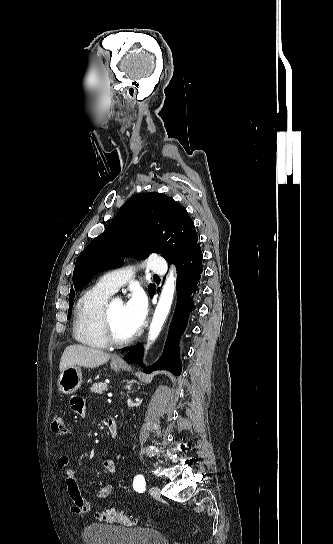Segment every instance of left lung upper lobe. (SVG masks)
Returning <instances> with one entry per match:
<instances>
[{
  "label": "left lung upper lobe",
  "mask_w": 333,
  "mask_h": 544,
  "mask_svg": "<svg viewBox=\"0 0 333 544\" xmlns=\"http://www.w3.org/2000/svg\"><path fill=\"white\" fill-rule=\"evenodd\" d=\"M198 246L194 223L185 207L164 194H138L120 208L113 222L79 255L73 272L74 287L81 289L100 271L119 266L125 257L146 258L157 253L169 265H177ZM155 289L150 284L149 295ZM69 299L68 319L73 288Z\"/></svg>",
  "instance_id": "left-lung-upper-lobe-1"
}]
</instances>
